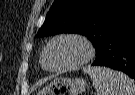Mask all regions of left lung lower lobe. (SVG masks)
<instances>
[{
    "label": "left lung lower lobe",
    "instance_id": "1",
    "mask_svg": "<svg viewBox=\"0 0 135 95\" xmlns=\"http://www.w3.org/2000/svg\"><path fill=\"white\" fill-rule=\"evenodd\" d=\"M92 65L122 71L135 79V19L105 38Z\"/></svg>",
    "mask_w": 135,
    "mask_h": 95
}]
</instances>
